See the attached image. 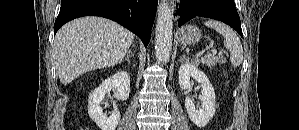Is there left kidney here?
<instances>
[{
	"instance_id": "1",
	"label": "left kidney",
	"mask_w": 299,
	"mask_h": 130,
	"mask_svg": "<svg viewBox=\"0 0 299 130\" xmlns=\"http://www.w3.org/2000/svg\"><path fill=\"white\" fill-rule=\"evenodd\" d=\"M191 77L201 84L202 91L199 98L202 104L201 107L196 108L193 100L189 96H186L185 107L190 120L197 127H204L215 114L214 88L204 72L199 70L195 65L185 62L179 69V85L187 92L192 88V83L190 82Z\"/></svg>"
}]
</instances>
